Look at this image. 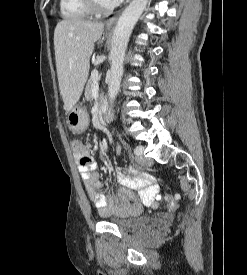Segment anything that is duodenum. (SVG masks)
<instances>
[{
  "mask_svg": "<svg viewBox=\"0 0 247 275\" xmlns=\"http://www.w3.org/2000/svg\"><path fill=\"white\" fill-rule=\"evenodd\" d=\"M101 118L104 123H110L113 119L112 109L109 106L105 107V110L101 113Z\"/></svg>",
  "mask_w": 247,
  "mask_h": 275,
  "instance_id": "obj_1",
  "label": "duodenum"
}]
</instances>
